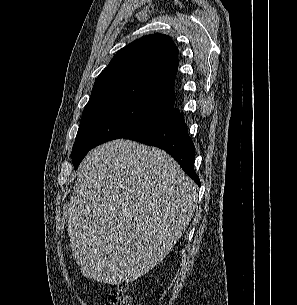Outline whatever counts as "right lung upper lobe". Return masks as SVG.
Segmentation results:
<instances>
[{"instance_id": "right-lung-upper-lobe-1", "label": "right lung upper lobe", "mask_w": 297, "mask_h": 305, "mask_svg": "<svg viewBox=\"0 0 297 305\" xmlns=\"http://www.w3.org/2000/svg\"><path fill=\"white\" fill-rule=\"evenodd\" d=\"M178 48L164 34L144 36L119 50L95 81L85 107L118 97L174 104Z\"/></svg>"}]
</instances>
